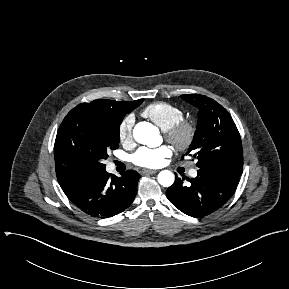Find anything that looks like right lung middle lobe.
I'll use <instances>...</instances> for the list:
<instances>
[{
	"mask_svg": "<svg viewBox=\"0 0 289 289\" xmlns=\"http://www.w3.org/2000/svg\"><path fill=\"white\" fill-rule=\"evenodd\" d=\"M142 102L143 99L138 106ZM127 113L70 111L59 127L55 140L57 176L69 185H80L103 173V160L108 157L107 152L119 147V126Z\"/></svg>",
	"mask_w": 289,
	"mask_h": 289,
	"instance_id": "1",
	"label": "right lung middle lobe"
}]
</instances>
